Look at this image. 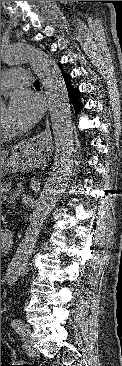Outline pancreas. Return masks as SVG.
Here are the masks:
<instances>
[{
    "instance_id": "obj_1",
    "label": "pancreas",
    "mask_w": 122,
    "mask_h": 366,
    "mask_svg": "<svg viewBox=\"0 0 122 366\" xmlns=\"http://www.w3.org/2000/svg\"><path fill=\"white\" fill-rule=\"evenodd\" d=\"M11 189V184L1 183V199L6 197L7 192Z\"/></svg>"
}]
</instances>
